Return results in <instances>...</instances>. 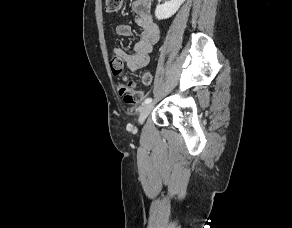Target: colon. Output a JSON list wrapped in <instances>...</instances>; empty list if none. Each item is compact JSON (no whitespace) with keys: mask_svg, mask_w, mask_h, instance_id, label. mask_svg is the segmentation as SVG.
<instances>
[{"mask_svg":"<svg viewBox=\"0 0 292 228\" xmlns=\"http://www.w3.org/2000/svg\"><path fill=\"white\" fill-rule=\"evenodd\" d=\"M105 4L108 12H117L121 9L123 0H105ZM110 66L113 74L120 77V81L117 83V88L119 94L123 96L124 101L131 105L139 104L143 99V94L136 88L134 82L128 80L124 76L122 62L115 57H111ZM142 83L144 85H149L151 83V75L149 73L143 74Z\"/></svg>","mask_w":292,"mask_h":228,"instance_id":"5ec220e1","label":"colon"}]
</instances>
